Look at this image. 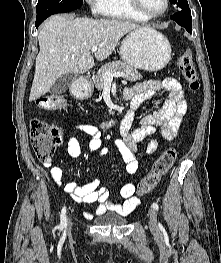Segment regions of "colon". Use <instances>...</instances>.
<instances>
[{"mask_svg": "<svg viewBox=\"0 0 221 263\" xmlns=\"http://www.w3.org/2000/svg\"><path fill=\"white\" fill-rule=\"evenodd\" d=\"M178 68L192 91H197L199 81L191 53L184 51L177 60ZM37 107L49 111H61L67 108L65 97L57 94L44 95L36 100ZM30 136L32 148L40 160L49 161L52 157L56 144L61 140L59 129L50 123L33 119L30 125ZM176 150L169 148L165 150L154 162L147 175L139 182L137 193L140 196L148 194L159 183L163 175L173 165L176 159Z\"/></svg>", "mask_w": 221, "mask_h": 263, "instance_id": "colon-1", "label": "colon"}]
</instances>
